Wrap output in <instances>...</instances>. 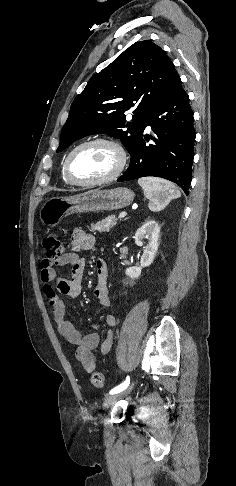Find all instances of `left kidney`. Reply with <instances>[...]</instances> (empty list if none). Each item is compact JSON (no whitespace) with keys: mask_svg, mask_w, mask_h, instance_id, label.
Masks as SVG:
<instances>
[{"mask_svg":"<svg viewBox=\"0 0 236 486\" xmlns=\"http://www.w3.org/2000/svg\"><path fill=\"white\" fill-rule=\"evenodd\" d=\"M160 227L154 220H147L135 233V243L142 247L143 239H147V244L143 246V254L141 256L139 267H129L125 274L131 279H137L142 272V269L150 266L153 263L154 257L158 250Z\"/></svg>","mask_w":236,"mask_h":486,"instance_id":"obj_1","label":"left kidney"}]
</instances>
